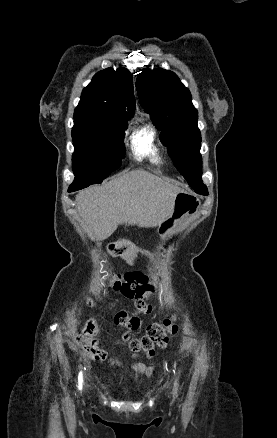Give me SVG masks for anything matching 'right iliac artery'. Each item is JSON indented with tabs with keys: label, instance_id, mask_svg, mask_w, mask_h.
I'll return each mask as SVG.
<instances>
[{
	"label": "right iliac artery",
	"instance_id": "1",
	"mask_svg": "<svg viewBox=\"0 0 277 438\" xmlns=\"http://www.w3.org/2000/svg\"><path fill=\"white\" fill-rule=\"evenodd\" d=\"M78 383H79V390H81L82 389V384H83L82 372L79 373Z\"/></svg>",
	"mask_w": 277,
	"mask_h": 438
}]
</instances>
